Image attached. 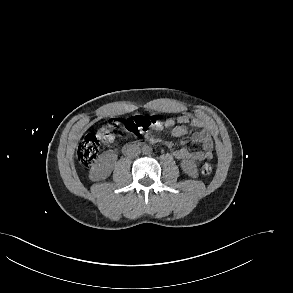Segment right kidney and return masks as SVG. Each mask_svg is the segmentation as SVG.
Returning a JSON list of instances; mask_svg holds the SVG:
<instances>
[{
  "mask_svg": "<svg viewBox=\"0 0 293 293\" xmlns=\"http://www.w3.org/2000/svg\"><path fill=\"white\" fill-rule=\"evenodd\" d=\"M111 173L110 165L104 160L101 163L96 164L90 173V178L94 181L105 179Z\"/></svg>",
  "mask_w": 293,
  "mask_h": 293,
  "instance_id": "ca27d5eb",
  "label": "right kidney"
}]
</instances>
